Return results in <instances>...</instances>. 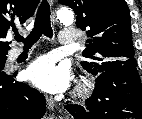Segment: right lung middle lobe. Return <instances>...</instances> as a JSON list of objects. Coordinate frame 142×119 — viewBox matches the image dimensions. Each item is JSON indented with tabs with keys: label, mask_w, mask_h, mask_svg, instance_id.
Here are the masks:
<instances>
[{
	"label": "right lung middle lobe",
	"mask_w": 142,
	"mask_h": 119,
	"mask_svg": "<svg viewBox=\"0 0 142 119\" xmlns=\"http://www.w3.org/2000/svg\"><path fill=\"white\" fill-rule=\"evenodd\" d=\"M6 55L7 54H0V65H3V63L6 61Z\"/></svg>",
	"instance_id": "right-lung-middle-lobe-1"
}]
</instances>
